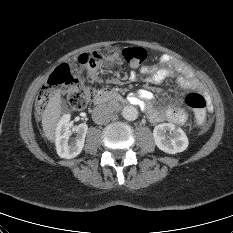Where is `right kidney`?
<instances>
[{
	"instance_id": "1",
	"label": "right kidney",
	"mask_w": 233,
	"mask_h": 233,
	"mask_svg": "<svg viewBox=\"0 0 233 233\" xmlns=\"http://www.w3.org/2000/svg\"><path fill=\"white\" fill-rule=\"evenodd\" d=\"M70 114H64L56 128V149L61 158L72 159L78 156L84 147L88 126L82 123L72 128L69 127ZM72 133L75 138L70 140Z\"/></svg>"
}]
</instances>
